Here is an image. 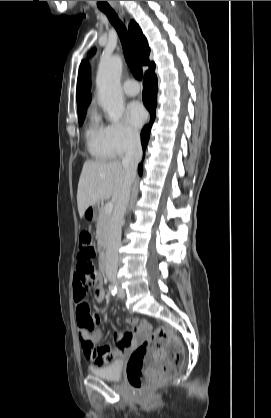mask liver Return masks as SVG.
Returning <instances> with one entry per match:
<instances>
[{"label":"liver","instance_id":"1","mask_svg":"<svg viewBox=\"0 0 271 418\" xmlns=\"http://www.w3.org/2000/svg\"><path fill=\"white\" fill-rule=\"evenodd\" d=\"M126 179V169L116 161L87 160L82 168L77 190L80 217L89 206L112 198L117 202Z\"/></svg>","mask_w":271,"mask_h":418}]
</instances>
